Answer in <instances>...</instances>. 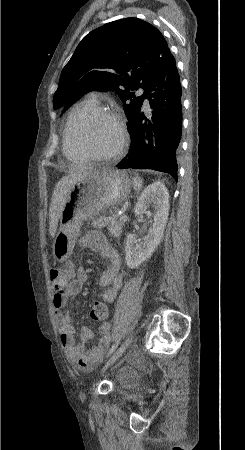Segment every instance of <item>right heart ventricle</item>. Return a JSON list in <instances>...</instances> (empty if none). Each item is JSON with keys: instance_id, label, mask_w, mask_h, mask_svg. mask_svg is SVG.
I'll return each instance as SVG.
<instances>
[{"instance_id": "1", "label": "right heart ventricle", "mask_w": 245, "mask_h": 450, "mask_svg": "<svg viewBox=\"0 0 245 450\" xmlns=\"http://www.w3.org/2000/svg\"><path fill=\"white\" fill-rule=\"evenodd\" d=\"M98 109L97 101L86 98L77 104L74 105L72 108L69 118L67 120L64 132H63V153L64 155L75 162H86L88 158L80 151L78 150L72 140V134H71V123L73 121L82 119L87 114L92 112L93 110Z\"/></svg>"}]
</instances>
